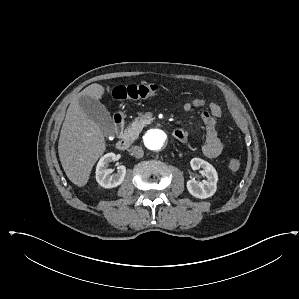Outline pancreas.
Returning <instances> with one entry per match:
<instances>
[{
    "instance_id": "pancreas-1",
    "label": "pancreas",
    "mask_w": 299,
    "mask_h": 299,
    "mask_svg": "<svg viewBox=\"0 0 299 299\" xmlns=\"http://www.w3.org/2000/svg\"><path fill=\"white\" fill-rule=\"evenodd\" d=\"M146 123L147 121L143 118L133 122L127 129L124 130L122 138L132 141L135 140L136 138H138Z\"/></svg>"
}]
</instances>
